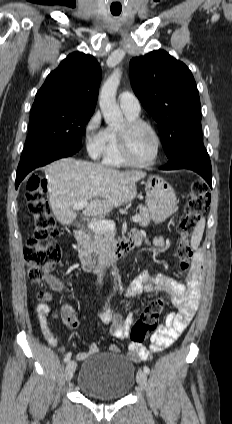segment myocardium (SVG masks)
<instances>
[{
    "label": "myocardium",
    "instance_id": "obj_1",
    "mask_svg": "<svg viewBox=\"0 0 232 424\" xmlns=\"http://www.w3.org/2000/svg\"><path fill=\"white\" fill-rule=\"evenodd\" d=\"M139 128L148 129L153 134L156 140L155 153L150 160L145 162H137L133 160L129 151L130 136L135 130ZM117 135H118L120 154L126 165L144 168V167H149L155 164L156 161L158 160L160 156L161 148H162V140L158 131L150 123L141 119L127 120L126 123L124 124V127L118 130Z\"/></svg>",
    "mask_w": 232,
    "mask_h": 424
}]
</instances>
